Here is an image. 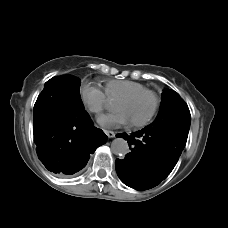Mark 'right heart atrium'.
Masks as SVG:
<instances>
[{
  "mask_svg": "<svg viewBox=\"0 0 228 228\" xmlns=\"http://www.w3.org/2000/svg\"><path fill=\"white\" fill-rule=\"evenodd\" d=\"M81 96L88 110L94 113H99L103 109H109L113 106L105 94L92 85H84Z\"/></svg>",
  "mask_w": 228,
  "mask_h": 228,
  "instance_id": "right-heart-atrium-1",
  "label": "right heart atrium"
}]
</instances>
